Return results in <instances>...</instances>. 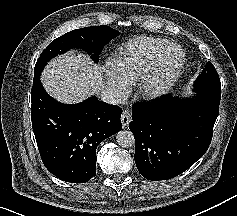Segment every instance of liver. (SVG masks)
<instances>
[{"label":"liver","instance_id":"1","mask_svg":"<svg viewBox=\"0 0 237 216\" xmlns=\"http://www.w3.org/2000/svg\"><path fill=\"white\" fill-rule=\"evenodd\" d=\"M107 70L105 67L101 73L84 55L71 52L49 64L42 82L52 96L64 102H77L99 92Z\"/></svg>","mask_w":237,"mask_h":216}]
</instances>
